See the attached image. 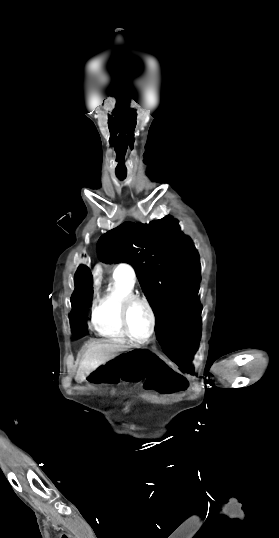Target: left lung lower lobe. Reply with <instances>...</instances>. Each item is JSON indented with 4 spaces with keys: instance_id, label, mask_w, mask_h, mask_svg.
<instances>
[{
    "instance_id": "1",
    "label": "left lung lower lobe",
    "mask_w": 279,
    "mask_h": 538,
    "mask_svg": "<svg viewBox=\"0 0 279 538\" xmlns=\"http://www.w3.org/2000/svg\"><path fill=\"white\" fill-rule=\"evenodd\" d=\"M201 335V324L185 331L156 332L157 340L167 357L175 362L181 371L194 374L192 358L197 350Z\"/></svg>"
}]
</instances>
